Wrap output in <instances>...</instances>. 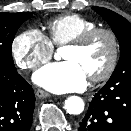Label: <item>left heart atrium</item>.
<instances>
[{"label":"left heart atrium","mask_w":131,"mask_h":131,"mask_svg":"<svg viewBox=\"0 0 131 131\" xmlns=\"http://www.w3.org/2000/svg\"><path fill=\"white\" fill-rule=\"evenodd\" d=\"M33 81L55 93L80 91L86 87L87 76L73 61L51 63L33 75Z\"/></svg>","instance_id":"obj_1"}]
</instances>
